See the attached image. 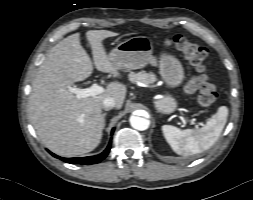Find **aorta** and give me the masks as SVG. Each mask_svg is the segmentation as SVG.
<instances>
[{"mask_svg": "<svg viewBox=\"0 0 253 200\" xmlns=\"http://www.w3.org/2000/svg\"><path fill=\"white\" fill-rule=\"evenodd\" d=\"M130 124L133 128L144 131L149 128L150 121L148 119H145L143 117L138 116H131L130 117Z\"/></svg>", "mask_w": 253, "mask_h": 200, "instance_id": "1", "label": "aorta"}]
</instances>
